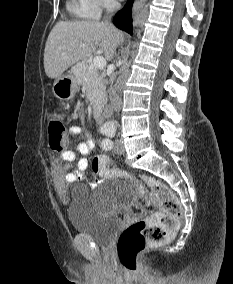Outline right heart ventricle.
<instances>
[{
  "label": "right heart ventricle",
  "mask_w": 233,
  "mask_h": 284,
  "mask_svg": "<svg viewBox=\"0 0 233 284\" xmlns=\"http://www.w3.org/2000/svg\"><path fill=\"white\" fill-rule=\"evenodd\" d=\"M68 9L83 20H97L101 15V7L97 0H69Z\"/></svg>",
  "instance_id": "right-heart-ventricle-1"
}]
</instances>
